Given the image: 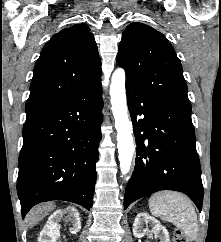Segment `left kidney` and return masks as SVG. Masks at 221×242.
Returning a JSON list of instances; mask_svg holds the SVG:
<instances>
[{
  "label": "left kidney",
  "mask_w": 221,
  "mask_h": 242,
  "mask_svg": "<svg viewBox=\"0 0 221 242\" xmlns=\"http://www.w3.org/2000/svg\"><path fill=\"white\" fill-rule=\"evenodd\" d=\"M148 224L151 230L148 229ZM146 225V228H143ZM153 233L155 238H159L160 242H170L169 233L161 223L147 213L137 214L133 223V235L136 238H142L147 233Z\"/></svg>",
  "instance_id": "left-kidney-1"
}]
</instances>
